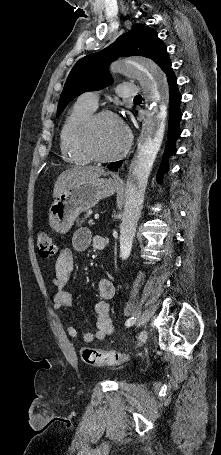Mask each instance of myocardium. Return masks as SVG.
<instances>
[{"label":"myocardium","instance_id":"myocardium-1","mask_svg":"<svg viewBox=\"0 0 221 455\" xmlns=\"http://www.w3.org/2000/svg\"><path fill=\"white\" fill-rule=\"evenodd\" d=\"M105 117H112L120 120L119 116L110 110H100L93 112L82 124L80 130V142L82 149L89 156V158L96 162H111L123 157L131 148L132 134L128 129L126 130V141L123 147L110 155H101L95 151L92 145V136L96 124Z\"/></svg>","mask_w":221,"mask_h":455}]
</instances>
